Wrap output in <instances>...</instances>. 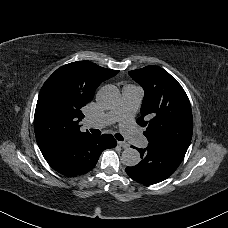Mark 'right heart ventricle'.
I'll use <instances>...</instances> for the list:
<instances>
[{
    "mask_svg": "<svg viewBox=\"0 0 228 228\" xmlns=\"http://www.w3.org/2000/svg\"><path fill=\"white\" fill-rule=\"evenodd\" d=\"M115 87V86H114ZM116 89H117V92H119V90H118V88L117 87H115Z\"/></svg>",
    "mask_w": 228,
    "mask_h": 228,
    "instance_id": "obj_1",
    "label": "right heart ventricle"
}]
</instances>
